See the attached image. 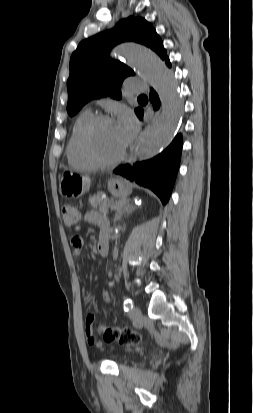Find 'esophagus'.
I'll use <instances>...</instances> for the list:
<instances>
[{"label":"esophagus","instance_id":"1","mask_svg":"<svg viewBox=\"0 0 253 413\" xmlns=\"http://www.w3.org/2000/svg\"><path fill=\"white\" fill-rule=\"evenodd\" d=\"M138 146H139V140H137L135 145L133 146L128 162H132L136 159Z\"/></svg>","mask_w":253,"mask_h":413}]
</instances>
